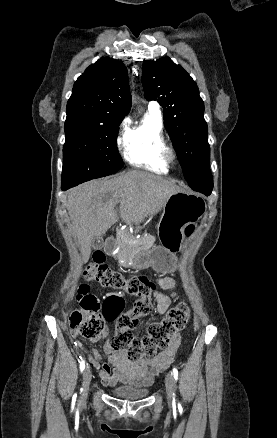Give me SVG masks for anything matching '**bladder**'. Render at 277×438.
Instances as JSON below:
<instances>
[{"instance_id":"obj_1","label":"bladder","mask_w":277,"mask_h":438,"mask_svg":"<svg viewBox=\"0 0 277 438\" xmlns=\"http://www.w3.org/2000/svg\"><path fill=\"white\" fill-rule=\"evenodd\" d=\"M110 394L115 396L118 400L127 402H137L142 400V398L151 394L149 388H124L117 387L111 389Z\"/></svg>"}]
</instances>
